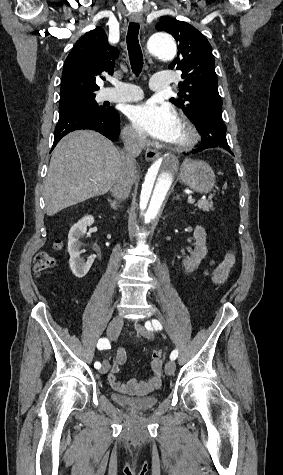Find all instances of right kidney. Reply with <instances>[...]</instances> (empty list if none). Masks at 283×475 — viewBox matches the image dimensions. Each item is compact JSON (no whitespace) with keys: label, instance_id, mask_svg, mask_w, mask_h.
<instances>
[{"label":"right kidney","instance_id":"1","mask_svg":"<svg viewBox=\"0 0 283 475\" xmlns=\"http://www.w3.org/2000/svg\"><path fill=\"white\" fill-rule=\"evenodd\" d=\"M95 220L93 216H85L82 220H79L77 224H74L72 228L69 230L68 234V251L70 255L69 263L72 269V273L76 275V277H84L86 273H88L93 261L94 257H88L87 261L80 257L81 251L79 243V238H82L84 234H86L87 226H91L94 224Z\"/></svg>","mask_w":283,"mask_h":475}]
</instances>
